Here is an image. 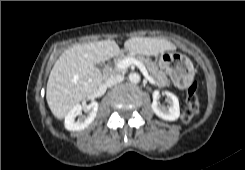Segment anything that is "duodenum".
<instances>
[{
  "label": "duodenum",
  "mask_w": 245,
  "mask_h": 170,
  "mask_svg": "<svg viewBox=\"0 0 245 170\" xmlns=\"http://www.w3.org/2000/svg\"><path fill=\"white\" fill-rule=\"evenodd\" d=\"M106 75H107V77H112V76L115 75V72L113 70H111V69H107L106 70Z\"/></svg>",
  "instance_id": "410a0bca"
}]
</instances>
